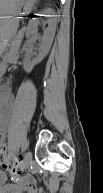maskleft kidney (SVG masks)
<instances>
[{"instance_id":"obj_1","label":"left kidney","mask_w":103,"mask_h":193,"mask_svg":"<svg viewBox=\"0 0 103 193\" xmlns=\"http://www.w3.org/2000/svg\"><path fill=\"white\" fill-rule=\"evenodd\" d=\"M51 14H52V9H49V8L43 10L41 14H38L39 16L50 17V19L48 20L49 26L45 30L44 35L42 37L38 56L33 61H28L24 63V66H23L24 70L28 73L33 70L36 64L40 63L46 57V55L48 54L51 48V45L54 39V35H55V26H54V21L52 18L53 16ZM39 23H40L39 19L35 18L33 22L31 23V29L35 30Z\"/></svg>"}]
</instances>
